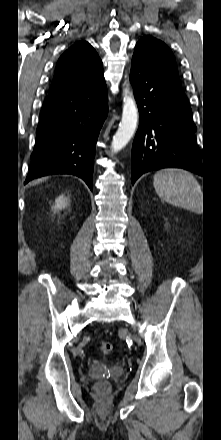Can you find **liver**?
<instances>
[{"label": "liver", "mask_w": 221, "mask_h": 440, "mask_svg": "<svg viewBox=\"0 0 221 440\" xmlns=\"http://www.w3.org/2000/svg\"><path fill=\"white\" fill-rule=\"evenodd\" d=\"M43 180H44V179L37 180V181L34 182V184H36V183H40V182H42Z\"/></svg>", "instance_id": "6515ba94"}]
</instances>
